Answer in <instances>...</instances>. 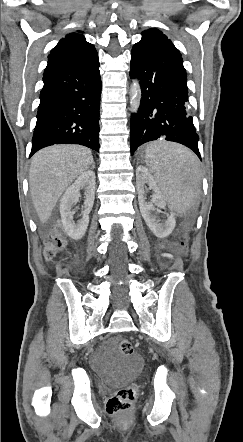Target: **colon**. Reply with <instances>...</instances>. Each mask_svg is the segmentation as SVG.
<instances>
[{
	"instance_id": "1",
	"label": "colon",
	"mask_w": 243,
	"mask_h": 442,
	"mask_svg": "<svg viewBox=\"0 0 243 442\" xmlns=\"http://www.w3.org/2000/svg\"><path fill=\"white\" fill-rule=\"evenodd\" d=\"M169 238V235H166ZM172 242L175 244V251L177 253H188L191 251L193 243L191 239L186 237H174ZM66 237L60 226H57L51 232L45 242L43 248V256L49 260L56 256V254L65 246ZM168 253L173 251L171 246L166 248ZM120 352L123 355H131L134 352V347L128 339H122L119 343ZM137 388L135 385L127 386L117 390L112 394L106 402V411L109 415L125 418L128 416L131 404L136 397Z\"/></svg>"
}]
</instances>
